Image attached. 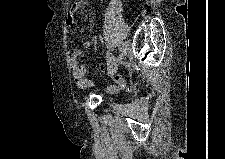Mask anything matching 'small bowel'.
I'll use <instances>...</instances> for the list:
<instances>
[{
  "label": "small bowel",
  "instance_id": "obj_1",
  "mask_svg": "<svg viewBox=\"0 0 225 159\" xmlns=\"http://www.w3.org/2000/svg\"><path fill=\"white\" fill-rule=\"evenodd\" d=\"M86 6L85 0L76 1L68 11L67 23L70 28L74 26V17L82 11ZM91 47L90 41H85L82 44V48L74 50L72 57L74 60L72 67V74L74 77V81L76 85L80 88H89L92 86L91 81L87 77L86 67L83 64L77 62V59L82 57L84 54V50L89 49ZM101 72H105L107 70V66L104 64H99L98 66ZM112 78L115 82L114 85H110L107 87V91L110 93H115L120 89H128L133 86V82H129L125 80L123 77L119 75H112Z\"/></svg>",
  "mask_w": 225,
  "mask_h": 159
}]
</instances>
